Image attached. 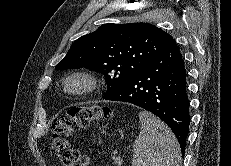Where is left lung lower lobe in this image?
Instances as JSON below:
<instances>
[{
  "label": "left lung lower lobe",
  "instance_id": "1",
  "mask_svg": "<svg viewBox=\"0 0 231 166\" xmlns=\"http://www.w3.org/2000/svg\"><path fill=\"white\" fill-rule=\"evenodd\" d=\"M184 60L174 39L106 100L129 102L163 120L184 153L190 116Z\"/></svg>",
  "mask_w": 231,
  "mask_h": 166
}]
</instances>
